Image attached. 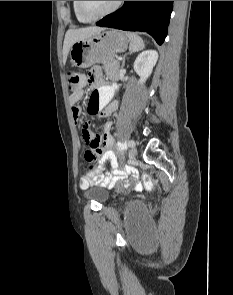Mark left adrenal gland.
<instances>
[{
    "mask_svg": "<svg viewBox=\"0 0 233 295\" xmlns=\"http://www.w3.org/2000/svg\"><path fill=\"white\" fill-rule=\"evenodd\" d=\"M128 54H131V53H128ZM128 54H125L123 56L122 65H121L122 68L125 66V61H126V57H127Z\"/></svg>",
    "mask_w": 233,
    "mask_h": 295,
    "instance_id": "obj_1",
    "label": "left adrenal gland"
}]
</instances>
